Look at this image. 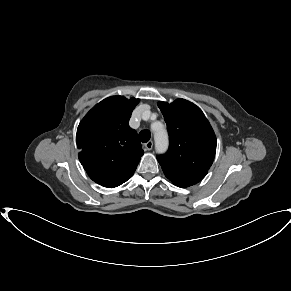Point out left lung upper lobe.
<instances>
[{
  "label": "left lung upper lobe",
  "mask_w": 291,
  "mask_h": 291,
  "mask_svg": "<svg viewBox=\"0 0 291 291\" xmlns=\"http://www.w3.org/2000/svg\"><path fill=\"white\" fill-rule=\"evenodd\" d=\"M169 134V149L157 157L165 176L178 187H189L201 181L213 163L217 140L201 109L177 99L158 102Z\"/></svg>",
  "instance_id": "obj_1"
}]
</instances>
